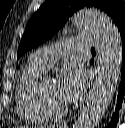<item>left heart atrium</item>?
Returning a JSON list of instances; mask_svg holds the SVG:
<instances>
[{
	"mask_svg": "<svg viewBox=\"0 0 125 128\" xmlns=\"http://www.w3.org/2000/svg\"><path fill=\"white\" fill-rule=\"evenodd\" d=\"M59 91L67 103L77 101L88 86L83 67L76 62L67 63L57 77Z\"/></svg>",
	"mask_w": 125,
	"mask_h": 128,
	"instance_id": "1",
	"label": "left heart atrium"
}]
</instances>
